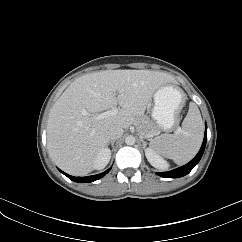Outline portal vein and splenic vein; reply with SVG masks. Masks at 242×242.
<instances>
[{
  "mask_svg": "<svg viewBox=\"0 0 242 242\" xmlns=\"http://www.w3.org/2000/svg\"><path fill=\"white\" fill-rule=\"evenodd\" d=\"M117 113H118V109L116 107H114L111 110H108L106 112H103V113L97 115L95 118L96 119H102V118H105V117L115 116ZM84 114H86V113H84ZM177 132L178 133L181 132V129L179 127L177 129Z\"/></svg>",
  "mask_w": 242,
  "mask_h": 242,
  "instance_id": "18ae733b",
  "label": "portal vein and splenic vein"
}]
</instances>
